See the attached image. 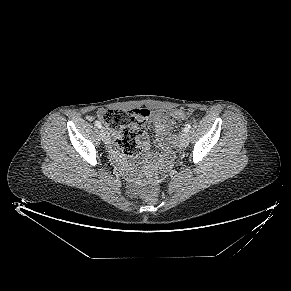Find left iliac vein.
I'll return each mask as SVG.
<instances>
[{
	"label": "left iliac vein",
	"instance_id": "obj_1",
	"mask_svg": "<svg viewBox=\"0 0 291 291\" xmlns=\"http://www.w3.org/2000/svg\"><path fill=\"white\" fill-rule=\"evenodd\" d=\"M189 142V136L187 134V132L182 131V133L180 134V138H179V143L181 147H186L188 145Z\"/></svg>",
	"mask_w": 291,
	"mask_h": 291
}]
</instances>
